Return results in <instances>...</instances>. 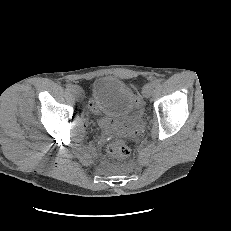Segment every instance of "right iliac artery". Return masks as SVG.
I'll return each instance as SVG.
<instances>
[{
    "instance_id": "right-iliac-artery-1",
    "label": "right iliac artery",
    "mask_w": 231,
    "mask_h": 231,
    "mask_svg": "<svg viewBox=\"0 0 231 231\" xmlns=\"http://www.w3.org/2000/svg\"><path fill=\"white\" fill-rule=\"evenodd\" d=\"M66 89H67L68 91H72V90H73V85H72V84H67V85H66Z\"/></svg>"
}]
</instances>
